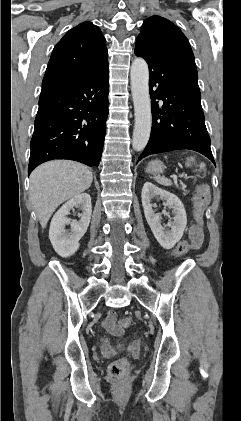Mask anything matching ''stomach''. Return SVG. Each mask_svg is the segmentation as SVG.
I'll use <instances>...</instances> for the list:
<instances>
[{
  "instance_id": "obj_1",
  "label": "stomach",
  "mask_w": 241,
  "mask_h": 421,
  "mask_svg": "<svg viewBox=\"0 0 241 421\" xmlns=\"http://www.w3.org/2000/svg\"><path fill=\"white\" fill-rule=\"evenodd\" d=\"M164 168L165 167L161 161L155 160L149 163L146 170L147 172H150V173L159 174L164 171Z\"/></svg>"
}]
</instances>
